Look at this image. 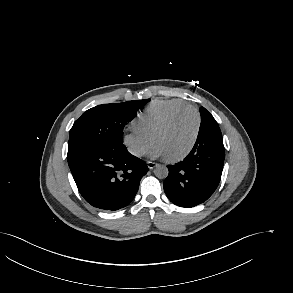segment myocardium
<instances>
[{
  "mask_svg": "<svg viewBox=\"0 0 293 293\" xmlns=\"http://www.w3.org/2000/svg\"><path fill=\"white\" fill-rule=\"evenodd\" d=\"M187 112H193L196 117V129H195L194 137H193L190 145L188 146V148L184 152H182L181 154H179L175 157H165L168 162L175 163V162L182 161L193 151V149L198 141V138L200 135V130H201V122L202 121H201V115H200L199 111L191 105L175 110L157 127V129L153 132V134L151 136V141H152V143H154L156 137L159 134H161L163 131H165L172 124V122L175 120V118L177 116L184 114V113H187Z\"/></svg>",
  "mask_w": 293,
  "mask_h": 293,
  "instance_id": "1",
  "label": "myocardium"
}]
</instances>
